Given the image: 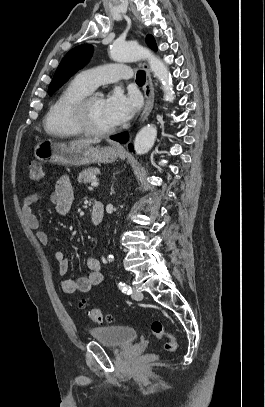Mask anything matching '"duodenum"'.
<instances>
[{
    "mask_svg": "<svg viewBox=\"0 0 265 407\" xmlns=\"http://www.w3.org/2000/svg\"><path fill=\"white\" fill-rule=\"evenodd\" d=\"M91 219L95 224L100 223L105 217V208L102 202H94L91 207Z\"/></svg>",
    "mask_w": 265,
    "mask_h": 407,
    "instance_id": "410a0bca",
    "label": "duodenum"
}]
</instances>
